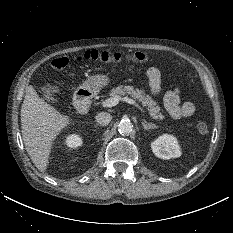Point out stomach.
<instances>
[{
  "instance_id": "0dacf381",
  "label": "stomach",
  "mask_w": 233,
  "mask_h": 233,
  "mask_svg": "<svg viewBox=\"0 0 233 233\" xmlns=\"http://www.w3.org/2000/svg\"><path fill=\"white\" fill-rule=\"evenodd\" d=\"M110 82V79L107 75L103 74H96L91 75L84 81L81 88L88 90V91H97L104 86H106Z\"/></svg>"
}]
</instances>
